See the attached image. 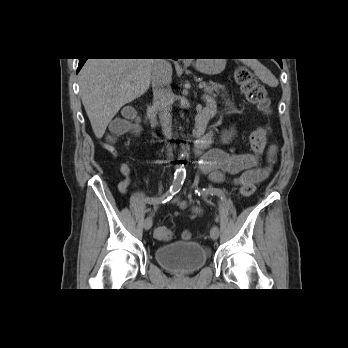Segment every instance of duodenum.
Listing matches in <instances>:
<instances>
[{"label": "duodenum", "instance_id": "obj_1", "mask_svg": "<svg viewBox=\"0 0 348 348\" xmlns=\"http://www.w3.org/2000/svg\"><path fill=\"white\" fill-rule=\"evenodd\" d=\"M215 111V107H204L196 117V125L193 128V134L198 139L199 144L197 146L198 149L205 148L208 142V135L206 131L207 124L211 117L213 116ZM147 117L150 123L159 128L163 133H173L172 130L165 125H161L157 119L156 107L150 106L147 111Z\"/></svg>", "mask_w": 348, "mask_h": 348}]
</instances>
